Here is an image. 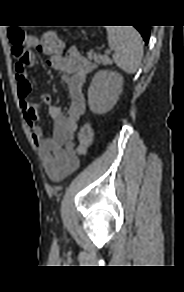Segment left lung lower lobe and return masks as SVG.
<instances>
[{"mask_svg": "<svg viewBox=\"0 0 184 292\" xmlns=\"http://www.w3.org/2000/svg\"><path fill=\"white\" fill-rule=\"evenodd\" d=\"M134 27L141 33L145 43L147 44L150 36V26L136 25Z\"/></svg>", "mask_w": 184, "mask_h": 292, "instance_id": "left-lung-lower-lobe-1", "label": "left lung lower lobe"}]
</instances>
